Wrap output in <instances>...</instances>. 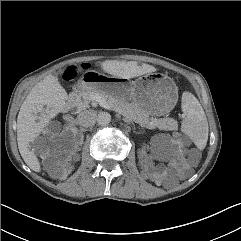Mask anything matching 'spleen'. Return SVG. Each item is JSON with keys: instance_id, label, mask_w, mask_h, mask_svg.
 <instances>
[{"instance_id": "3e777b00", "label": "spleen", "mask_w": 241, "mask_h": 241, "mask_svg": "<svg viewBox=\"0 0 241 241\" xmlns=\"http://www.w3.org/2000/svg\"><path fill=\"white\" fill-rule=\"evenodd\" d=\"M181 108L185 114L181 131L195 143L198 149H204L208 140V121L201 104L193 94L184 92Z\"/></svg>"}]
</instances>
